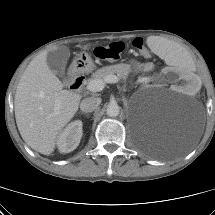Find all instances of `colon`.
I'll return each mask as SVG.
<instances>
[{
	"label": "colon",
	"instance_id": "colon-1",
	"mask_svg": "<svg viewBox=\"0 0 215 215\" xmlns=\"http://www.w3.org/2000/svg\"><path fill=\"white\" fill-rule=\"evenodd\" d=\"M133 46L137 48L143 56H148V52L145 50L143 41L140 38H136L133 41ZM123 50L124 44L122 42H114L105 46L95 47L93 53L99 59L117 60L120 58Z\"/></svg>",
	"mask_w": 215,
	"mask_h": 215
}]
</instances>
